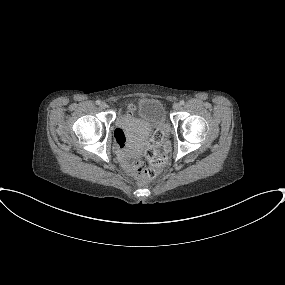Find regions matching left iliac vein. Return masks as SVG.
<instances>
[{"label": "left iliac vein", "mask_w": 285, "mask_h": 285, "mask_svg": "<svg viewBox=\"0 0 285 285\" xmlns=\"http://www.w3.org/2000/svg\"><path fill=\"white\" fill-rule=\"evenodd\" d=\"M180 107H181V105H180L179 103H174V104H173V109H174V110H179Z\"/></svg>", "instance_id": "obj_1"}]
</instances>
